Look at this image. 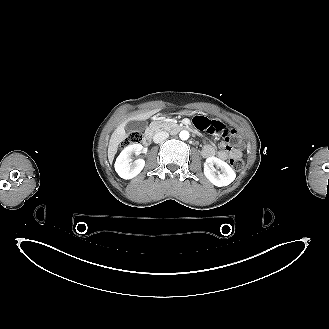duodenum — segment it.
<instances>
[{
  "instance_id": "obj_1",
  "label": "duodenum",
  "mask_w": 329,
  "mask_h": 329,
  "mask_svg": "<svg viewBox=\"0 0 329 329\" xmlns=\"http://www.w3.org/2000/svg\"><path fill=\"white\" fill-rule=\"evenodd\" d=\"M183 129H189L188 126H183ZM152 140V133L151 132H147L143 138V143L144 145H149L151 143Z\"/></svg>"
}]
</instances>
